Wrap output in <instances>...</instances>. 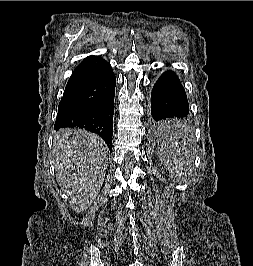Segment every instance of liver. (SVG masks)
<instances>
[{"label": "liver", "mask_w": 253, "mask_h": 266, "mask_svg": "<svg viewBox=\"0 0 253 266\" xmlns=\"http://www.w3.org/2000/svg\"><path fill=\"white\" fill-rule=\"evenodd\" d=\"M53 158L56 179L70 198L72 209L86 211L96 199L104 181L108 148L101 137L82 129L55 133Z\"/></svg>", "instance_id": "6515ba94"}]
</instances>
